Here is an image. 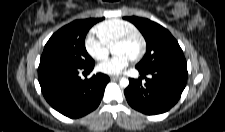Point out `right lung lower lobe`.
I'll list each match as a JSON object with an SVG mask.
<instances>
[{
    "instance_id": "right-lung-lower-lobe-1",
    "label": "right lung lower lobe",
    "mask_w": 225,
    "mask_h": 132,
    "mask_svg": "<svg viewBox=\"0 0 225 132\" xmlns=\"http://www.w3.org/2000/svg\"><path fill=\"white\" fill-rule=\"evenodd\" d=\"M94 64L75 67L58 63L39 65L38 79L46 101L61 114L70 118L82 117L98 107L109 77L98 73L82 80L80 71L90 73Z\"/></svg>"
}]
</instances>
